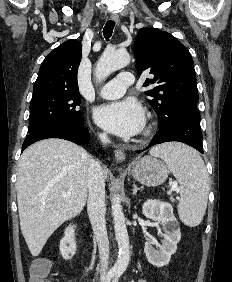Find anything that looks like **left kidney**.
Instances as JSON below:
<instances>
[{
  "instance_id": "5707ae66",
  "label": "left kidney",
  "mask_w": 232,
  "mask_h": 282,
  "mask_svg": "<svg viewBox=\"0 0 232 282\" xmlns=\"http://www.w3.org/2000/svg\"><path fill=\"white\" fill-rule=\"evenodd\" d=\"M142 213L145 217L161 224L165 232L159 250L153 248L152 241H147L144 247L148 262L156 267H163L169 263L181 239L180 227L173 214V207L170 203L151 199L143 204Z\"/></svg>"
}]
</instances>
